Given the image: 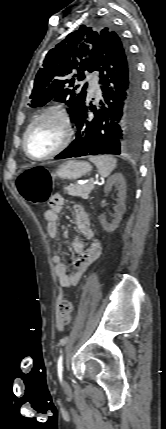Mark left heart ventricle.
I'll return each instance as SVG.
<instances>
[{
	"mask_svg": "<svg viewBox=\"0 0 166 429\" xmlns=\"http://www.w3.org/2000/svg\"><path fill=\"white\" fill-rule=\"evenodd\" d=\"M63 129L61 122L53 117L39 121L31 130L27 147L34 157H42L52 152L61 142Z\"/></svg>",
	"mask_w": 166,
	"mask_h": 429,
	"instance_id": "1",
	"label": "left heart ventricle"
}]
</instances>
